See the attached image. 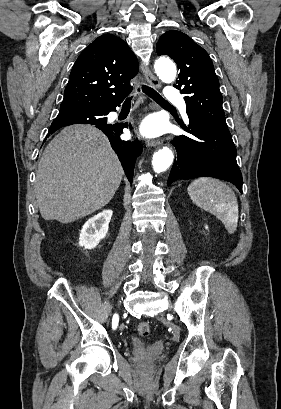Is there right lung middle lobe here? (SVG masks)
Here are the masks:
<instances>
[{"label": "right lung middle lobe", "instance_id": "dd1d6c3e", "mask_svg": "<svg viewBox=\"0 0 281 409\" xmlns=\"http://www.w3.org/2000/svg\"><path fill=\"white\" fill-rule=\"evenodd\" d=\"M80 123L90 124V121L87 118L57 116L49 130H57L64 126Z\"/></svg>", "mask_w": 281, "mask_h": 409}]
</instances>
